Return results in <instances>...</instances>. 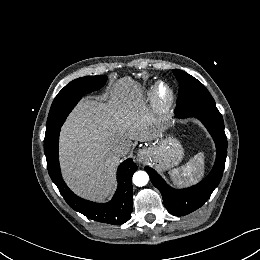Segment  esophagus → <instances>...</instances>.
<instances>
[{
    "label": "esophagus",
    "mask_w": 260,
    "mask_h": 260,
    "mask_svg": "<svg viewBox=\"0 0 260 260\" xmlns=\"http://www.w3.org/2000/svg\"><path fill=\"white\" fill-rule=\"evenodd\" d=\"M147 151L145 149L143 150H140L137 155H136V160L139 162V163H142L144 161V159L147 157Z\"/></svg>",
    "instance_id": "esophagus-1"
}]
</instances>
